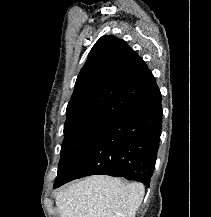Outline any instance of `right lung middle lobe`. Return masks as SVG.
<instances>
[{
    "label": "right lung middle lobe",
    "instance_id": "right-lung-middle-lobe-1",
    "mask_svg": "<svg viewBox=\"0 0 211 217\" xmlns=\"http://www.w3.org/2000/svg\"><path fill=\"white\" fill-rule=\"evenodd\" d=\"M113 113H94L66 121L64 141L56 179H61L116 117Z\"/></svg>",
    "mask_w": 211,
    "mask_h": 217
}]
</instances>
